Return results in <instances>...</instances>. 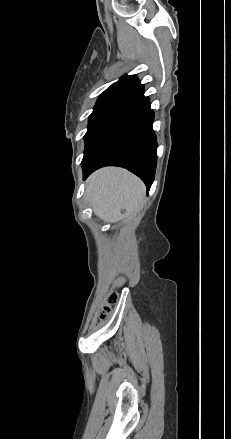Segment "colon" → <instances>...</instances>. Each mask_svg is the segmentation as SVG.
Instances as JSON below:
<instances>
[{
    "instance_id": "obj_1",
    "label": "colon",
    "mask_w": 231,
    "mask_h": 439,
    "mask_svg": "<svg viewBox=\"0 0 231 439\" xmlns=\"http://www.w3.org/2000/svg\"><path fill=\"white\" fill-rule=\"evenodd\" d=\"M118 301V294L113 292L111 293L108 298H107V302L105 305L102 306V310H101V318H105L111 311V307L113 305H115Z\"/></svg>"
}]
</instances>
